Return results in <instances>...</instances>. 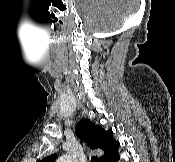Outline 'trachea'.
<instances>
[{
	"label": "trachea",
	"mask_w": 175,
	"mask_h": 162,
	"mask_svg": "<svg viewBox=\"0 0 175 162\" xmlns=\"http://www.w3.org/2000/svg\"><path fill=\"white\" fill-rule=\"evenodd\" d=\"M91 162H98L97 156H93V157L91 158Z\"/></svg>",
	"instance_id": "trachea-1"
}]
</instances>
